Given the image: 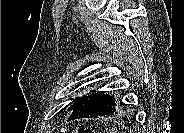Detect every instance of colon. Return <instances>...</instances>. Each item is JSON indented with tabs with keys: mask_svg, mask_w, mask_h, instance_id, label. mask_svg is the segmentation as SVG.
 I'll list each match as a JSON object with an SVG mask.
<instances>
[{
	"mask_svg": "<svg viewBox=\"0 0 184 133\" xmlns=\"http://www.w3.org/2000/svg\"><path fill=\"white\" fill-rule=\"evenodd\" d=\"M75 132H77V133H91L92 131L88 130L86 128H78V129H76Z\"/></svg>",
	"mask_w": 184,
	"mask_h": 133,
	"instance_id": "1",
	"label": "colon"
}]
</instances>
